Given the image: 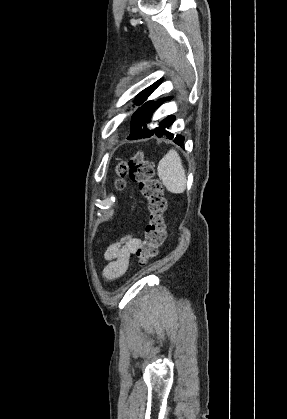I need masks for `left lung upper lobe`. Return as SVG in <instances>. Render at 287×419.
<instances>
[{
	"label": "left lung upper lobe",
	"instance_id": "obj_1",
	"mask_svg": "<svg viewBox=\"0 0 287 419\" xmlns=\"http://www.w3.org/2000/svg\"><path fill=\"white\" fill-rule=\"evenodd\" d=\"M163 79H160L158 81H156L153 85L147 87L146 89H144L143 91H141L137 96H136V103L137 105H140L142 102H144L147 97L153 92V90L155 88H157L161 83H162Z\"/></svg>",
	"mask_w": 287,
	"mask_h": 419
}]
</instances>
